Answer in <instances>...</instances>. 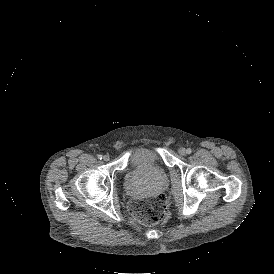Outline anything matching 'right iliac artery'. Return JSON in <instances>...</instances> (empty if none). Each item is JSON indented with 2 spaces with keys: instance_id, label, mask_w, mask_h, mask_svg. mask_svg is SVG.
<instances>
[{
  "instance_id": "obj_1",
  "label": "right iliac artery",
  "mask_w": 274,
  "mask_h": 274,
  "mask_svg": "<svg viewBox=\"0 0 274 274\" xmlns=\"http://www.w3.org/2000/svg\"><path fill=\"white\" fill-rule=\"evenodd\" d=\"M97 158L101 160V159L103 158V156H102L101 154H99V155L97 156Z\"/></svg>"
}]
</instances>
